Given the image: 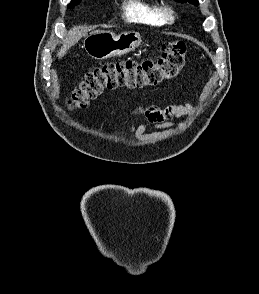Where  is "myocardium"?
<instances>
[{
	"instance_id": "1",
	"label": "myocardium",
	"mask_w": 259,
	"mask_h": 294,
	"mask_svg": "<svg viewBox=\"0 0 259 294\" xmlns=\"http://www.w3.org/2000/svg\"><path fill=\"white\" fill-rule=\"evenodd\" d=\"M158 15L163 22L172 23L175 19L174 11L168 6H162L158 9Z\"/></svg>"
}]
</instances>
